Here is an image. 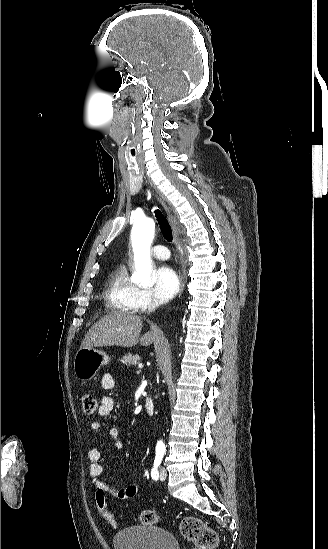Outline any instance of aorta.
<instances>
[{
	"label": "aorta",
	"instance_id": "aorta-1",
	"mask_svg": "<svg viewBox=\"0 0 328 549\" xmlns=\"http://www.w3.org/2000/svg\"><path fill=\"white\" fill-rule=\"evenodd\" d=\"M155 233V222L151 218L135 221L131 230V241L134 254L135 272L132 281L140 286L147 287L154 284L150 247ZM156 450L165 451V444L159 440Z\"/></svg>",
	"mask_w": 328,
	"mask_h": 549
}]
</instances>
